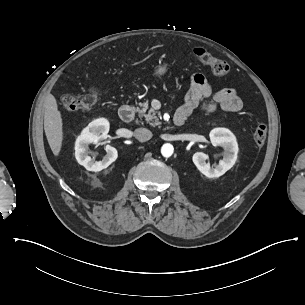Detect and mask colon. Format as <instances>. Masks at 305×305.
I'll list each match as a JSON object with an SVG mask.
<instances>
[{
    "label": "colon",
    "instance_id": "1",
    "mask_svg": "<svg viewBox=\"0 0 305 305\" xmlns=\"http://www.w3.org/2000/svg\"><path fill=\"white\" fill-rule=\"evenodd\" d=\"M194 54L199 62L209 66L216 75H225L229 71V66L226 62L213 57L204 47H196ZM102 89L94 86L90 87L81 97L73 95H65L63 97V105L68 110L89 109L98 100ZM267 137V125L264 121H260L254 131L253 140L256 146H263Z\"/></svg>",
    "mask_w": 305,
    "mask_h": 305
}]
</instances>
